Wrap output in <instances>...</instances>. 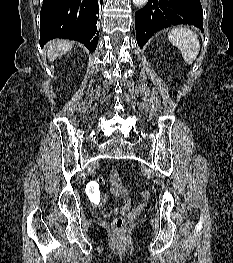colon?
Returning a JSON list of instances; mask_svg holds the SVG:
<instances>
[{
	"instance_id": "colon-1",
	"label": "colon",
	"mask_w": 233,
	"mask_h": 263,
	"mask_svg": "<svg viewBox=\"0 0 233 263\" xmlns=\"http://www.w3.org/2000/svg\"><path fill=\"white\" fill-rule=\"evenodd\" d=\"M87 194L86 199H89V202H100V195L102 191L100 190L98 182H87ZM150 192L148 190H142L140 192V197L144 201L150 199ZM126 224L123 218L117 217L112 222V230L115 234H121L125 230Z\"/></svg>"
}]
</instances>
